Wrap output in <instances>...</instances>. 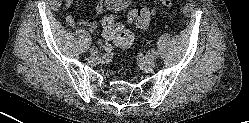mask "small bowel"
<instances>
[{
    "label": "small bowel",
    "instance_id": "small-bowel-1",
    "mask_svg": "<svg viewBox=\"0 0 249 123\" xmlns=\"http://www.w3.org/2000/svg\"><path fill=\"white\" fill-rule=\"evenodd\" d=\"M74 1L75 0H64V6L67 10H69L73 4H74ZM104 9V0H99V3L96 7V15H100L102 13ZM66 23L69 25V26H74L76 25L77 23L81 24V25H84L88 28H95L97 26V21L93 18H89V19H80V20H76L74 18L73 15H71L70 13H67L66 15ZM105 37V36H104ZM106 38V37H105ZM108 39V38H106ZM109 40V39H108Z\"/></svg>",
    "mask_w": 249,
    "mask_h": 123
}]
</instances>
